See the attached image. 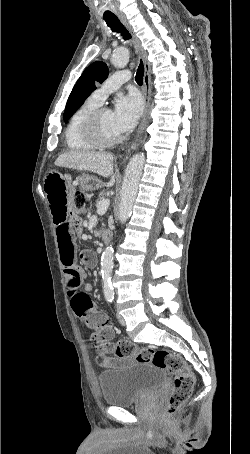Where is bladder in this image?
Returning <instances> with one entry per match:
<instances>
[{"label": "bladder", "instance_id": "31cf9c89", "mask_svg": "<svg viewBox=\"0 0 250 454\" xmlns=\"http://www.w3.org/2000/svg\"><path fill=\"white\" fill-rule=\"evenodd\" d=\"M165 381L162 368L141 361L126 359V364L98 375L104 403L129 406L159 390Z\"/></svg>", "mask_w": 250, "mask_h": 454}]
</instances>
